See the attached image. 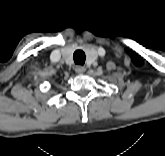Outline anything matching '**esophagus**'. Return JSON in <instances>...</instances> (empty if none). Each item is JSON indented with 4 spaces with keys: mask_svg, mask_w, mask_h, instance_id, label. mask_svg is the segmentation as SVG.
Masks as SVG:
<instances>
[{
    "mask_svg": "<svg viewBox=\"0 0 165 156\" xmlns=\"http://www.w3.org/2000/svg\"><path fill=\"white\" fill-rule=\"evenodd\" d=\"M85 71H86V68L84 66L79 65V66H76V68H75V72L77 74H83Z\"/></svg>",
    "mask_w": 165,
    "mask_h": 156,
    "instance_id": "34e87169",
    "label": "esophagus"
}]
</instances>
